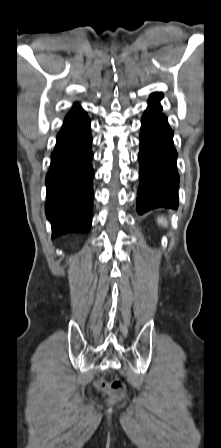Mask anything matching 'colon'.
<instances>
[{"mask_svg": "<svg viewBox=\"0 0 221 448\" xmlns=\"http://www.w3.org/2000/svg\"><path fill=\"white\" fill-rule=\"evenodd\" d=\"M97 386L101 390L108 392L109 400L111 402H118L123 399L125 395V386L119 379H114L110 383H107L104 380H99Z\"/></svg>", "mask_w": 221, "mask_h": 448, "instance_id": "colon-1", "label": "colon"}]
</instances>
